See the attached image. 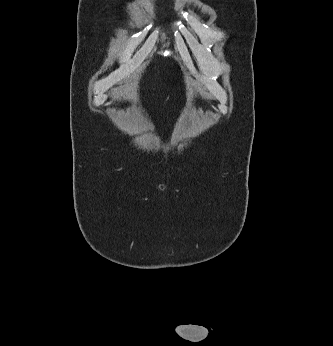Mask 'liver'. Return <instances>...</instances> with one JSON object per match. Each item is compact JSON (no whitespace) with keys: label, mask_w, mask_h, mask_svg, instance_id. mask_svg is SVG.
I'll use <instances>...</instances> for the list:
<instances>
[{"label":"liver","mask_w":333,"mask_h":346,"mask_svg":"<svg viewBox=\"0 0 333 346\" xmlns=\"http://www.w3.org/2000/svg\"><path fill=\"white\" fill-rule=\"evenodd\" d=\"M132 88V85H128L125 89V91L121 94L123 97H127L129 95L130 89Z\"/></svg>","instance_id":"obj_1"}]
</instances>
